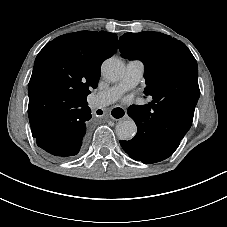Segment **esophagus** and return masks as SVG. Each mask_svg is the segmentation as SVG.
<instances>
[{"label": "esophagus", "mask_w": 227, "mask_h": 227, "mask_svg": "<svg viewBox=\"0 0 227 227\" xmlns=\"http://www.w3.org/2000/svg\"><path fill=\"white\" fill-rule=\"evenodd\" d=\"M109 113H110V115L112 116L113 119L121 120V119L124 118L123 116H124L125 112H124L122 107L116 106L113 109H111Z\"/></svg>", "instance_id": "1"}]
</instances>
